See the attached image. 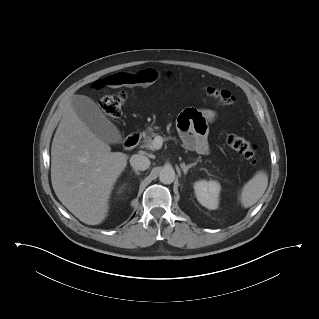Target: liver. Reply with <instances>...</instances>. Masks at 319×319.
<instances>
[{"instance_id":"1","label":"liver","mask_w":319,"mask_h":319,"mask_svg":"<svg viewBox=\"0 0 319 319\" xmlns=\"http://www.w3.org/2000/svg\"><path fill=\"white\" fill-rule=\"evenodd\" d=\"M128 155L111 152L75 113L71 99L63 109L51 146V182L60 202L80 221L98 225Z\"/></svg>"}]
</instances>
